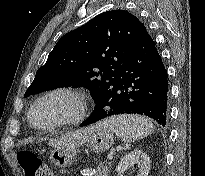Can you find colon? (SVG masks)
Wrapping results in <instances>:
<instances>
[{
  "label": "colon",
  "mask_w": 205,
  "mask_h": 176,
  "mask_svg": "<svg viewBox=\"0 0 205 176\" xmlns=\"http://www.w3.org/2000/svg\"><path fill=\"white\" fill-rule=\"evenodd\" d=\"M23 176H50L48 166L30 150H19L16 155Z\"/></svg>",
  "instance_id": "colon-1"
}]
</instances>
